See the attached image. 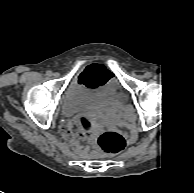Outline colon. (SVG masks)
Returning <instances> with one entry per match:
<instances>
[{"label":"colon","mask_w":194,"mask_h":193,"mask_svg":"<svg viewBox=\"0 0 194 193\" xmlns=\"http://www.w3.org/2000/svg\"><path fill=\"white\" fill-rule=\"evenodd\" d=\"M98 144L105 153H119L125 148L124 138L114 132H107L98 138Z\"/></svg>","instance_id":"5ec220e1"}]
</instances>
